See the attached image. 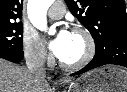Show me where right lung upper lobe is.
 <instances>
[{"mask_svg": "<svg viewBox=\"0 0 127 92\" xmlns=\"http://www.w3.org/2000/svg\"><path fill=\"white\" fill-rule=\"evenodd\" d=\"M22 2L23 0H0V25L17 23L16 20L22 17Z\"/></svg>", "mask_w": 127, "mask_h": 92, "instance_id": "1", "label": "right lung upper lobe"}]
</instances>
